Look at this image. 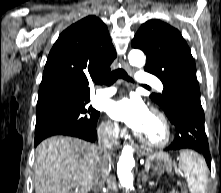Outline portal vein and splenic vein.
Returning a JSON list of instances; mask_svg holds the SVG:
<instances>
[{
	"label": "portal vein and splenic vein",
	"instance_id": "obj_1",
	"mask_svg": "<svg viewBox=\"0 0 221 193\" xmlns=\"http://www.w3.org/2000/svg\"><path fill=\"white\" fill-rule=\"evenodd\" d=\"M145 168H146L147 170H149L150 164H146V165H145Z\"/></svg>",
	"mask_w": 221,
	"mask_h": 193
}]
</instances>
